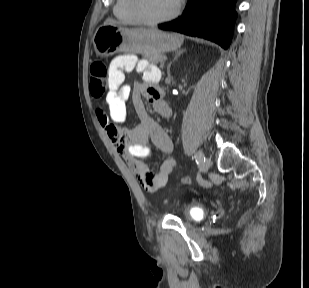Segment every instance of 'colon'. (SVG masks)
Masks as SVG:
<instances>
[{
	"label": "colon",
	"instance_id": "1",
	"mask_svg": "<svg viewBox=\"0 0 309 288\" xmlns=\"http://www.w3.org/2000/svg\"><path fill=\"white\" fill-rule=\"evenodd\" d=\"M107 67L102 62H95L90 66V91L93 96L101 97L108 85ZM191 183L188 177L181 179V186H188Z\"/></svg>",
	"mask_w": 309,
	"mask_h": 288
}]
</instances>
